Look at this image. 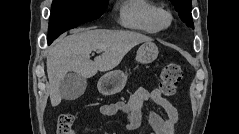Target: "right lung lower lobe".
Segmentation results:
<instances>
[{"label": "right lung lower lobe", "instance_id": "1", "mask_svg": "<svg viewBox=\"0 0 239 134\" xmlns=\"http://www.w3.org/2000/svg\"><path fill=\"white\" fill-rule=\"evenodd\" d=\"M53 40H48V43L50 44Z\"/></svg>", "mask_w": 239, "mask_h": 134}]
</instances>
